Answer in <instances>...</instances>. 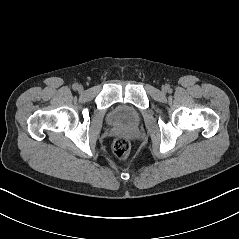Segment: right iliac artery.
I'll return each mask as SVG.
<instances>
[{"mask_svg":"<svg viewBox=\"0 0 239 239\" xmlns=\"http://www.w3.org/2000/svg\"><path fill=\"white\" fill-rule=\"evenodd\" d=\"M72 87H73L74 90H77L78 87H79V84L78 83H74Z\"/></svg>","mask_w":239,"mask_h":239,"instance_id":"obj_1","label":"right iliac artery"}]
</instances>
